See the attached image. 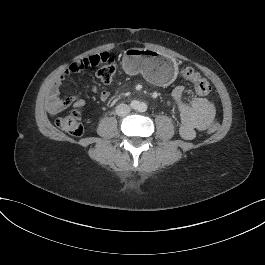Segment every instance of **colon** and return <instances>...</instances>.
Wrapping results in <instances>:
<instances>
[{
    "label": "colon",
    "mask_w": 265,
    "mask_h": 265,
    "mask_svg": "<svg viewBox=\"0 0 265 265\" xmlns=\"http://www.w3.org/2000/svg\"><path fill=\"white\" fill-rule=\"evenodd\" d=\"M98 65H100V68L97 71L98 78L103 83H109L115 74L116 65L115 60L105 52L95 54L74 62L70 65L67 72H77L84 68ZM180 74L187 80H190L194 83V89L198 95L204 96L211 91L210 83L194 69L190 67L181 68ZM81 114V109H74L68 114L59 117L57 119L58 127L72 136H80L83 133V126L80 121ZM219 127V122L213 121L208 126V132L214 133L219 129Z\"/></svg>",
    "instance_id": "obj_1"
}]
</instances>
